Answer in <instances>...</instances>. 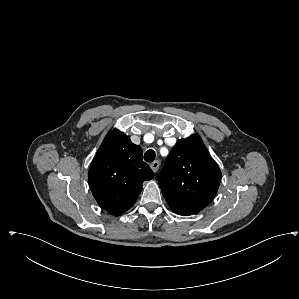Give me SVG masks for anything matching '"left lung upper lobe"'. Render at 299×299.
I'll use <instances>...</instances> for the list:
<instances>
[{
    "mask_svg": "<svg viewBox=\"0 0 299 299\" xmlns=\"http://www.w3.org/2000/svg\"><path fill=\"white\" fill-rule=\"evenodd\" d=\"M156 179L173 211L191 215L213 200L221 172L200 136L194 134L177 141Z\"/></svg>",
    "mask_w": 299,
    "mask_h": 299,
    "instance_id": "1",
    "label": "left lung upper lobe"
}]
</instances>
